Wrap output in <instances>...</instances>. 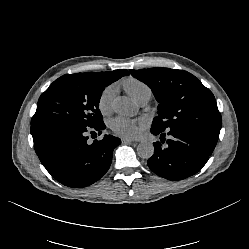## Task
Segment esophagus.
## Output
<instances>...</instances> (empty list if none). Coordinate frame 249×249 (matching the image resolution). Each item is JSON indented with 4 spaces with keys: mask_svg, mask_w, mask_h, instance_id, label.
<instances>
[{
    "mask_svg": "<svg viewBox=\"0 0 249 249\" xmlns=\"http://www.w3.org/2000/svg\"><path fill=\"white\" fill-rule=\"evenodd\" d=\"M122 143H131V142H133V140L132 139H130V138H126V137H124V138H122Z\"/></svg>",
    "mask_w": 249,
    "mask_h": 249,
    "instance_id": "1",
    "label": "esophagus"
}]
</instances>
